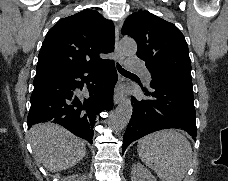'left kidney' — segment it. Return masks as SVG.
Wrapping results in <instances>:
<instances>
[{"label": "left kidney", "mask_w": 228, "mask_h": 181, "mask_svg": "<svg viewBox=\"0 0 228 181\" xmlns=\"http://www.w3.org/2000/svg\"><path fill=\"white\" fill-rule=\"evenodd\" d=\"M131 181H156L152 173H149L148 169L141 165V163H135L131 169Z\"/></svg>", "instance_id": "left-kidney-1"}]
</instances>
